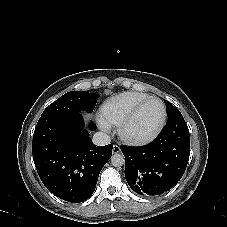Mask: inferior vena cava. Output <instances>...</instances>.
<instances>
[{
  "label": "inferior vena cava",
  "mask_w": 227,
  "mask_h": 227,
  "mask_svg": "<svg viewBox=\"0 0 227 227\" xmlns=\"http://www.w3.org/2000/svg\"><path fill=\"white\" fill-rule=\"evenodd\" d=\"M92 141L97 146H104L111 142V138L108 134L104 132H96L93 135Z\"/></svg>",
  "instance_id": "inferior-vena-cava-1"
}]
</instances>
